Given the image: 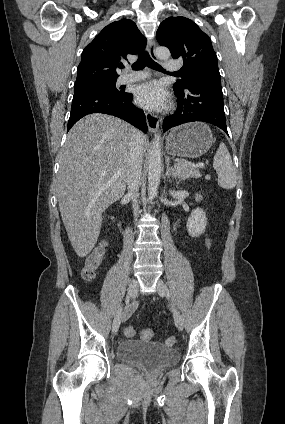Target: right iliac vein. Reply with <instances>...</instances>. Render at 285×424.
Masks as SVG:
<instances>
[{
    "instance_id": "63e3f726",
    "label": "right iliac vein",
    "mask_w": 285,
    "mask_h": 424,
    "mask_svg": "<svg viewBox=\"0 0 285 424\" xmlns=\"http://www.w3.org/2000/svg\"><path fill=\"white\" fill-rule=\"evenodd\" d=\"M138 288V281L136 279H132L129 286H128V290H127V299L133 297L137 291ZM130 316H128V310L125 309L122 312V308H120L119 310H117L114 319H113V323H112V332L114 334L117 333L119 326L121 324V321H126Z\"/></svg>"
}]
</instances>
